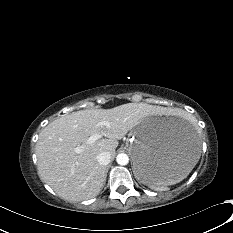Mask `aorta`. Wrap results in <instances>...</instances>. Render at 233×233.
<instances>
[{"label": "aorta", "instance_id": "762f6f07", "mask_svg": "<svg viewBox=\"0 0 233 233\" xmlns=\"http://www.w3.org/2000/svg\"><path fill=\"white\" fill-rule=\"evenodd\" d=\"M116 161L119 165H127L129 162V157L125 153H120L117 155Z\"/></svg>", "mask_w": 233, "mask_h": 233}]
</instances>
